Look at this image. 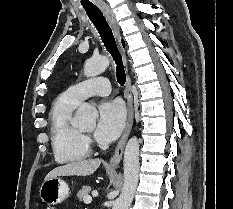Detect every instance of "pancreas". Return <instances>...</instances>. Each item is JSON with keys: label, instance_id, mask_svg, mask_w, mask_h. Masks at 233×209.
<instances>
[{"label": "pancreas", "instance_id": "1", "mask_svg": "<svg viewBox=\"0 0 233 209\" xmlns=\"http://www.w3.org/2000/svg\"><path fill=\"white\" fill-rule=\"evenodd\" d=\"M90 191V186H83L82 189L78 191L77 197L79 198V200H84L85 197L89 196Z\"/></svg>", "mask_w": 233, "mask_h": 209}]
</instances>
